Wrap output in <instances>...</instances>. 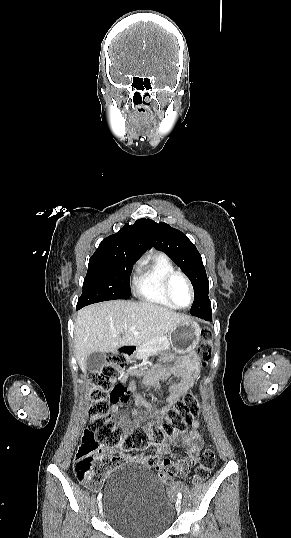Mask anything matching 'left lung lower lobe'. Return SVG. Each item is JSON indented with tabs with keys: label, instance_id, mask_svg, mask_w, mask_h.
I'll use <instances>...</instances> for the list:
<instances>
[{
	"label": "left lung lower lobe",
	"instance_id": "obj_1",
	"mask_svg": "<svg viewBox=\"0 0 291 538\" xmlns=\"http://www.w3.org/2000/svg\"><path fill=\"white\" fill-rule=\"evenodd\" d=\"M192 315L197 316V317H199L201 319H204L206 321H211L212 320L211 307L199 308L198 310L194 311Z\"/></svg>",
	"mask_w": 291,
	"mask_h": 538
}]
</instances>
